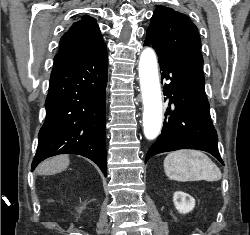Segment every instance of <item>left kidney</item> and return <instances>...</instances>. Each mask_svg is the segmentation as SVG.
Segmentation results:
<instances>
[{
  "mask_svg": "<svg viewBox=\"0 0 250 235\" xmlns=\"http://www.w3.org/2000/svg\"><path fill=\"white\" fill-rule=\"evenodd\" d=\"M173 202L175 208L181 214L189 213L195 207V199L189 194L182 191H177L174 193Z\"/></svg>",
  "mask_w": 250,
  "mask_h": 235,
  "instance_id": "1",
  "label": "left kidney"
}]
</instances>
